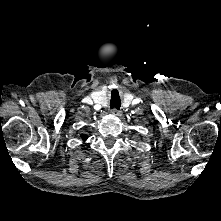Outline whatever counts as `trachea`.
Returning <instances> with one entry per match:
<instances>
[{
	"instance_id": "1",
	"label": "trachea",
	"mask_w": 221,
	"mask_h": 221,
	"mask_svg": "<svg viewBox=\"0 0 221 221\" xmlns=\"http://www.w3.org/2000/svg\"><path fill=\"white\" fill-rule=\"evenodd\" d=\"M121 106V100L118 92L111 94V100H110V108L111 109H120Z\"/></svg>"
}]
</instances>
